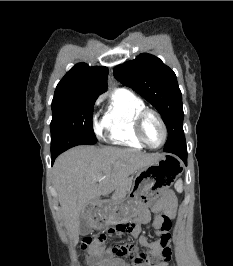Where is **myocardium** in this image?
I'll return each instance as SVG.
<instances>
[{"label": "myocardium", "mask_w": 233, "mask_h": 266, "mask_svg": "<svg viewBox=\"0 0 233 266\" xmlns=\"http://www.w3.org/2000/svg\"><path fill=\"white\" fill-rule=\"evenodd\" d=\"M150 115L154 116L159 121V123L162 127V130H163L162 141L157 146H153V145L149 144L147 142V140L145 139V136L143 133L144 122H145L146 118ZM134 131H135V135L138 138V140L144 146L151 148V149H158V148L162 147L165 144V142L167 140V136H168V130H167V126H166L164 119L162 118V116L157 111L150 109V108H145L138 113V115L135 119V123H134Z\"/></svg>", "instance_id": "f54148a6"}]
</instances>
